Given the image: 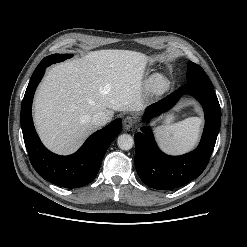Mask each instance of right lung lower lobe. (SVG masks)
I'll return each instance as SVG.
<instances>
[{
	"instance_id": "right-lung-lower-lobe-1",
	"label": "right lung lower lobe",
	"mask_w": 247,
	"mask_h": 247,
	"mask_svg": "<svg viewBox=\"0 0 247 247\" xmlns=\"http://www.w3.org/2000/svg\"><path fill=\"white\" fill-rule=\"evenodd\" d=\"M40 62L26 89L21 105V128L30 162L45 180L65 188H78L90 183L97 175L103 157L112 141L120 134L122 120L116 119L92 134L83 146L70 156H59L41 143L32 121V100L45 69Z\"/></svg>"
}]
</instances>
